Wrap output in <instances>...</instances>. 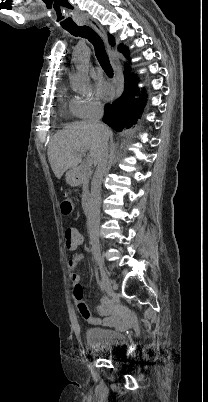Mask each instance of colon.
Masks as SVG:
<instances>
[{
  "mask_svg": "<svg viewBox=\"0 0 208 402\" xmlns=\"http://www.w3.org/2000/svg\"><path fill=\"white\" fill-rule=\"evenodd\" d=\"M63 214H72L73 206L72 205H63L62 206ZM63 237L65 244L69 250L76 249L79 243V236L76 229L73 226H67L63 231ZM78 309L84 317L89 315L87 303L85 299L79 300L77 303Z\"/></svg>",
  "mask_w": 208,
  "mask_h": 402,
  "instance_id": "1",
  "label": "colon"
}]
</instances>
